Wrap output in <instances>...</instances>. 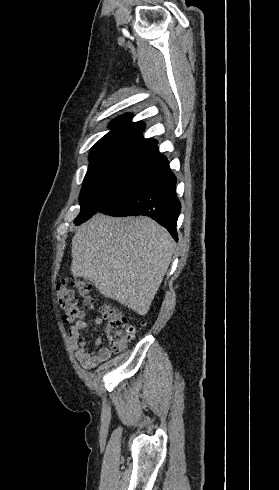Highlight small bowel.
Instances as JSON below:
<instances>
[{
    "label": "small bowel",
    "mask_w": 279,
    "mask_h": 490,
    "mask_svg": "<svg viewBox=\"0 0 279 490\" xmlns=\"http://www.w3.org/2000/svg\"><path fill=\"white\" fill-rule=\"evenodd\" d=\"M89 322L100 325L103 319L100 317H91L77 320L68 332V343L75 350L77 360L85 369H93L102 362L109 360L112 356L111 350L106 347H100L97 352H91L88 349L82 333L86 330ZM102 341L101 336L97 337L94 342L95 347H99Z\"/></svg>",
    "instance_id": "small-bowel-1"
}]
</instances>
